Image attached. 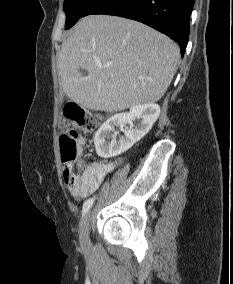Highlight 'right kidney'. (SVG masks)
Returning a JSON list of instances; mask_svg holds the SVG:
<instances>
[{
	"label": "right kidney",
	"mask_w": 233,
	"mask_h": 284,
	"mask_svg": "<svg viewBox=\"0 0 233 284\" xmlns=\"http://www.w3.org/2000/svg\"><path fill=\"white\" fill-rule=\"evenodd\" d=\"M159 114V105L150 103L133 106L127 113L110 117L95 134L96 153L102 158L115 157L124 153L151 130ZM135 120L137 123L134 125ZM126 123L130 124V128L125 130L124 136L117 140L115 127Z\"/></svg>",
	"instance_id": "obj_1"
}]
</instances>
